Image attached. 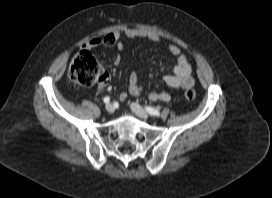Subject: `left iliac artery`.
<instances>
[{
  "mask_svg": "<svg viewBox=\"0 0 272 198\" xmlns=\"http://www.w3.org/2000/svg\"><path fill=\"white\" fill-rule=\"evenodd\" d=\"M146 111L150 114V115H153V116H160V111L153 108V107H150V106H146L145 107Z\"/></svg>",
  "mask_w": 272,
  "mask_h": 198,
  "instance_id": "obj_1",
  "label": "left iliac artery"
}]
</instances>
